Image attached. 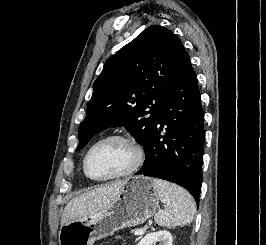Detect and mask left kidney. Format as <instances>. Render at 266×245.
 Here are the masks:
<instances>
[{"instance_id":"5707ae66","label":"left kidney","mask_w":266,"mask_h":245,"mask_svg":"<svg viewBox=\"0 0 266 245\" xmlns=\"http://www.w3.org/2000/svg\"><path fill=\"white\" fill-rule=\"evenodd\" d=\"M173 245V239L169 231H157V233H148L141 239L138 245Z\"/></svg>"}]
</instances>
